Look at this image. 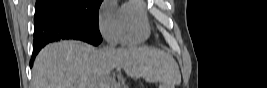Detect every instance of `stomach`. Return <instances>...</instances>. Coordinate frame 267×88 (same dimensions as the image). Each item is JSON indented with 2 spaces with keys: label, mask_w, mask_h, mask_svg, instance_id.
I'll return each mask as SVG.
<instances>
[{
  "label": "stomach",
  "mask_w": 267,
  "mask_h": 88,
  "mask_svg": "<svg viewBox=\"0 0 267 88\" xmlns=\"http://www.w3.org/2000/svg\"><path fill=\"white\" fill-rule=\"evenodd\" d=\"M159 88H172V87L168 85L167 83H163L159 86Z\"/></svg>",
  "instance_id": "obj_1"
}]
</instances>
